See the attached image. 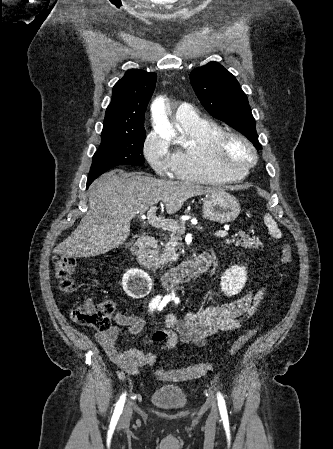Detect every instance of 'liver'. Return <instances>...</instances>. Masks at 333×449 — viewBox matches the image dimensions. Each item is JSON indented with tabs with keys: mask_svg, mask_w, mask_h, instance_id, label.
I'll return each mask as SVG.
<instances>
[{
	"mask_svg": "<svg viewBox=\"0 0 333 449\" xmlns=\"http://www.w3.org/2000/svg\"><path fill=\"white\" fill-rule=\"evenodd\" d=\"M216 191L188 182L112 170L91 184L89 211L55 252L73 257L104 254L124 243L130 235V221L158 202L163 201L166 212L173 214L189 198Z\"/></svg>",
	"mask_w": 333,
	"mask_h": 449,
	"instance_id": "obj_1",
	"label": "liver"
}]
</instances>
